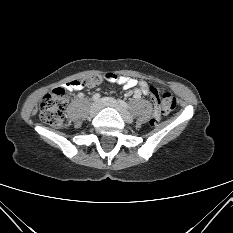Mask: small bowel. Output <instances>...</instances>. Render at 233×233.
I'll use <instances>...</instances> for the list:
<instances>
[{
    "label": "small bowel",
    "mask_w": 233,
    "mask_h": 233,
    "mask_svg": "<svg viewBox=\"0 0 233 233\" xmlns=\"http://www.w3.org/2000/svg\"><path fill=\"white\" fill-rule=\"evenodd\" d=\"M102 78L104 81H109L112 83L111 90H116L118 83L123 87V89L128 90V95H133L135 98H140L142 94H145L154 99L153 93L149 90L150 85H148L145 81H138L126 76H119L116 72L105 73ZM62 89L68 90L69 92H74L77 89L83 93L87 88L83 83L75 79L73 81L63 83Z\"/></svg>",
    "instance_id": "c3829d8e"
}]
</instances>
